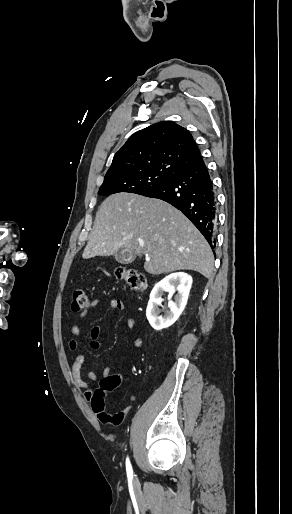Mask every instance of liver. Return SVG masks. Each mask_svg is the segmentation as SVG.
Instances as JSON below:
<instances>
[{
    "label": "liver",
    "instance_id": "liver-1",
    "mask_svg": "<svg viewBox=\"0 0 292 514\" xmlns=\"http://www.w3.org/2000/svg\"><path fill=\"white\" fill-rule=\"evenodd\" d=\"M120 248L133 250L139 258L145 254L149 274L176 270H195L205 278L213 274L214 256L204 236L163 200L120 192L102 202L82 256L85 260L112 256Z\"/></svg>",
    "mask_w": 292,
    "mask_h": 514
}]
</instances>
